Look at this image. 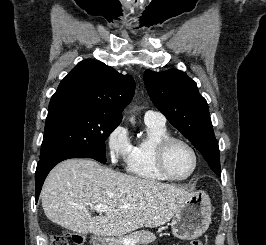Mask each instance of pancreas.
Returning <instances> with one entry per match:
<instances>
[{"label":"pancreas","instance_id":"obj_1","mask_svg":"<svg viewBox=\"0 0 266 245\" xmlns=\"http://www.w3.org/2000/svg\"><path fill=\"white\" fill-rule=\"evenodd\" d=\"M129 237L130 239H135L134 245H148V243L156 241L155 235L150 233V231H135V233H131ZM137 239H139V241H137ZM109 245H121L120 239H117V241H111Z\"/></svg>","mask_w":266,"mask_h":245}]
</instances>
